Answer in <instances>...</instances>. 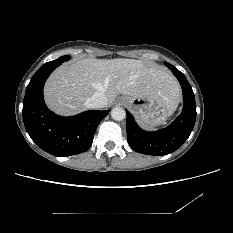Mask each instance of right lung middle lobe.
I'll list each match as a JSON object with an SVG mask.
<instances>
[{
    "label": "right lung middle lobe",
    "instance_id": "obj_1",
    "mask_svg": "<svg viewBox=\"0 0 233 233\" xmlns=\"http://www.w3.org/2000/svg\"><path fill=\"white\" fill-rule=\"evenodd\" d=\"M70 59V56L66 55V56H62L60 57L59 59L57 60H54V61H50V62H47L45 63L44 65H47V64H54V63H63L65 61H68Z\"/></svg>",
    "mask_w": 233,
    "mask_h": 233
}]
</instances>
